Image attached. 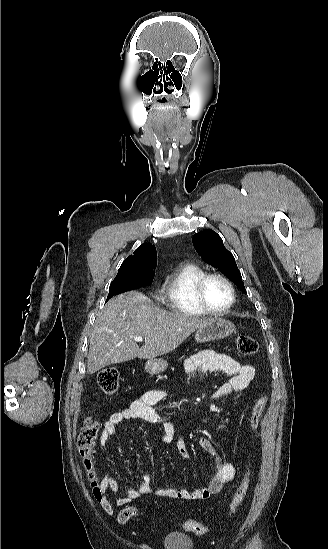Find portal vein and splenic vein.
<instances>
[{"mask_svg":"<svg viewBox=\"0 0 328 549\" xmlns=\"http://www.w3.org/2000/svg\"><path fill=\"white\" fill-rule=\"evenodd\" d=\"M133 341H143V337H133Z\"/></svg>","mask_w":328,"mask_h":549,"instance_id":"1","label":"portal vein and splenic vein"}]
</instances>
